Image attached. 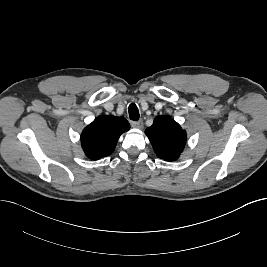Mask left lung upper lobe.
Listing matches in <instances>:
<instances>
[{
    "instance_id": "1",
    "label": "left lung upper lobe",
    "mask_w": 267,
    "mask_h": 267,
    "mask_svg": "<svg viewBox=\"0 0 267 267\" xmlns=\"http://www.w3.org/2000/svg\"><path fill=\"white\" fill-rule=\"evenodd\" d=\"M156 155L166 161H175L186 144V132L169 116H157L145 130Z\"/></svg>"
}]
</instances>
